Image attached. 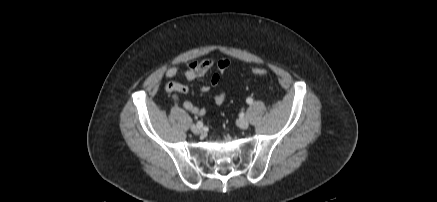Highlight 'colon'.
Segmentation results:
<instances>
[{"label": "colon", "mask_w": 437, "mask_h": 202, "mask_svg": "<svg viewBox=\"0 0 437 202\" xmlns=\"http://www.w3.org/2000/svg\"><path fill=\"white\" fill-rule=\"evenodd\" d=\"M252 74L255 76H266L267 75V70L264 68H259V67H255L252 69Z\"/></svg>", "instance_id": "colon-1"}]
</instances>
